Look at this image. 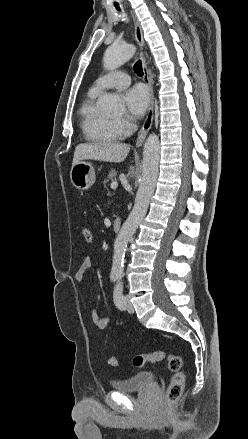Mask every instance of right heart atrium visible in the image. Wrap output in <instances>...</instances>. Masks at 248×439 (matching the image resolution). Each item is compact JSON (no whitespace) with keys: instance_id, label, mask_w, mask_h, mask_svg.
<instances>
[{"instance_id":"1","label":"right heart atrium","mask_w":248,"mask_h":439,"mask_svg":"<svg viewBox=\"0 0 248 439\" xmlns=\"http://www.w3.org/2000/svg\"><path fill=\"white\" fill-rule=\"evenodd\" d=\"M116 125L122 133H128L132 129V125L123 118H118L115 120Z\"/></svg>"}]
</instances>
